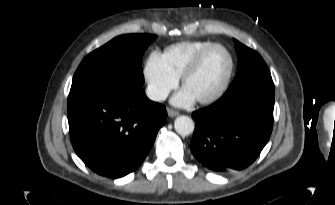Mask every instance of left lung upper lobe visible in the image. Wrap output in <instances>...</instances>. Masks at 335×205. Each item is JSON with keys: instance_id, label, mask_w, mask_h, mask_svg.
Listing matches in <instances>:
<instances>
[{"instance_id": "obj_1", "label": "left lung upper lobe", "mask_w": 335, "mask_h": 205, "mask_svg": "<svg viewBox=\"0 0 335 205\" xmlns=\"http://www.w3.org/2000/svg\"><path fill=\"white\" fill-rule=\"evenodd\" d=\"M238 72L226 93L243 89H260L274 94L270 71L262 57L254 50L235 40Z\"/></svg>"}]
</instances>
